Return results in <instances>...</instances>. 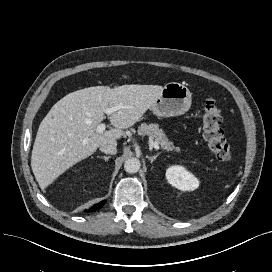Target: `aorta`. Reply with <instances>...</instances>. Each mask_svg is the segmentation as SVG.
<instances>
[{"instance_id":"obj_1","label":"aorta","mask_w":272,"mask_h":272,"mask_svg":"<svg viewBox=\"0 0 272 272\" xmlns=\"http://www.w3.org/2000/svg\"><path fill=\"white\" fill-rule=\"evenodd\" d=\"M141 166L140 160L137 158H129L124 163V169L127 173H136L139 171Z\"/></svg>"}]
</instances>
